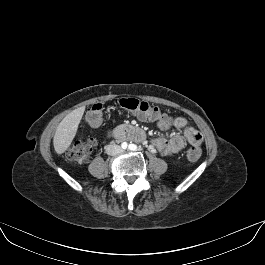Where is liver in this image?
Listing matches in <instances>:
<instances>
[{
  "mask_svg": "<svg viewBox=\"0 0 265 265\" xmlns=\"http://www.w3.org/2000/svg\"><path fill=\"white\" fill-rule=\"evenodd\" d=\"M85 108L80 107L69 113L57 126L53 145L57 154L64 153L71 145L83 116Z\"/></svg>",
  "mask_w": 265,
  "mask_h": 265,
  "instance_id": "1",
  "label": "liver"
}]
</instances>
